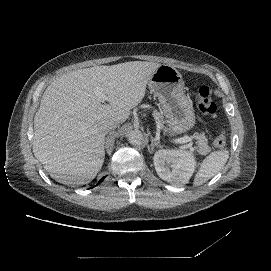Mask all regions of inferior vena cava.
Wrapping results in <instances>:
<instances>
[{"mask_svg": "<svg viewBox=\"0 0 271 271\" xmlns=\"http://www.w3.org/2000/svg\"><path fill=\"white\" fill-rule=\"evenodd\" d=\"M119 125L118 122L113 121V120H108L105 123H103L101 125V129L106 133L110 132L111 130H114L117 128V126Z\"/></svg>", "mask_w": 271, "mask_h": 271, "instance_id": "obj_1", "label": "inferior vena cava"}]
</instances>
